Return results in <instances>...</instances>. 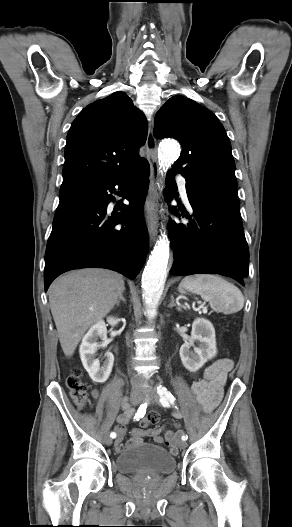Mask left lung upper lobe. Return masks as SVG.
Wrapping results in <instances>:
<instances>
[{
	"instance_id": "1",
	"label": "left lung upper lobe",
	"mask_w": 292,
	"mask_h": 527,
	"mask_svg": "<svg viewBox=\"0 0 292 527\" xmlns=\"http://www.w3.org/2000/svg\"><path fill=\"white\" fill-rule=\"evenodd\" d=\"M155 136L172 137L182 153L169 171L186 179V188L238 197L231 143L218 118L197 102L171 97L157 112Z\"/></svg>"
}]
</instances>
